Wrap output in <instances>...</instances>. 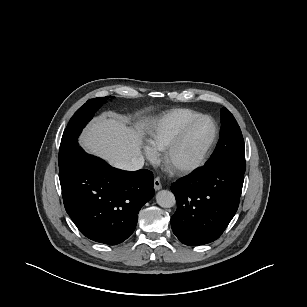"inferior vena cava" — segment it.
I'll use <instances>...</instances> for the list:
<instances>
[{
    "label": "inferior vena cava",
    "instance_id": "1",
    "mask_svg": "<svg viewBox=\"0 0 307 307\" xmlns=\"http://www.w3.org/2000/svg\"><path fill=\"white\" fill-rule=\"evenodd\" d=\"M143 165H144V158L142 156H138V157H133L130 160L119 162L115 165V167L127 171H136L141 169Z\"/></svg>",
    "mask_w": 307,
    "mask_h": 307
}]
</instances>
